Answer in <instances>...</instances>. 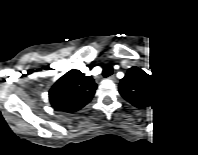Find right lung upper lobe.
Listing matches in <instances>:
<instances>
[{"label":"right lung upper lobe","instance_id":"right-lung-upper-lobe-1","mask_svg":"<svg viewBox=\"0 0 198 155\" xmlns=\"http://www.w3.org/2000/svg\"><path fill=\"white\" fill-rule=\"evenodd\" d=\"M97 86L91 77L71 70L56 81L49 91V100L56 110L76 111L90 102Z\"/></svg>","mask_w":198,"mask_h":155}]
</instances>
